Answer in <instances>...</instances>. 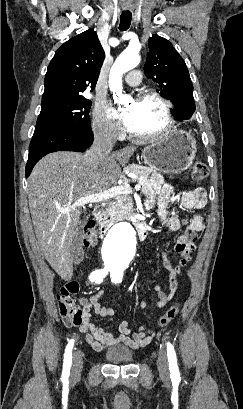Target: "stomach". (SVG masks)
I'll return each instance as SVG.
<instances>
[{"label": "stomach", "instance_id": "1", "mask_svg": "<svg viewBox=\"0 0 243 409\" xmlns=\"http://www.w3.org/2000/svg\"><path fill=\"white\" fill-rule=\"evenodd\" d=\"M196 141L183 130H173L144 148V162L154 171L176 174L186 170L195 158Z\"/></svg>", "mask_w": 243, "mask_h": 409}]
</instances>
